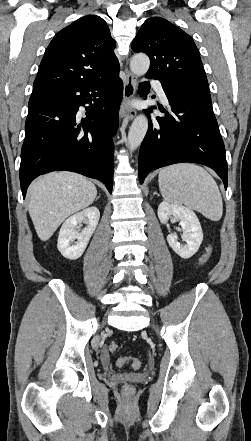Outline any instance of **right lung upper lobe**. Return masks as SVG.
<instances>
[{
    "label": "right lung upper lobe",
    "mask_w": 251,
    "mask_h": 441,
    "mask_svg": "<svg viewBox=\"0 0 251 441\" xmlns=\"http://www.w3.org/2000/svg\"><path fill=\"white\" fill-rule=\"evenodd\" d=\"M115 41L99 16H84L59 31L40 63L33 92L88 84L119 70Z\"/></svg>",
    "instance_id": "cb5924a9"
}]
</instances>
